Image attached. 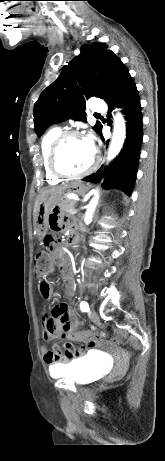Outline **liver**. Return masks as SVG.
Listing matches in <instances>:
<instances>
[{
	"label": "liver",
	"instance_id": "liver-1",
	"mask_svg": "<svg viewBox=\"0 0 165 461\" xmlns=\"http://www.w3.org/2000/svg\"><path fill=\"white\" fill-rule=\"evenodd\" d=\"M65 188L66 187H53V188L43 190V191L40 192V194L37 196V199H36L35 204H34V210H33L34 221H36V216H37V213H38V209H39V205H40L41 200L46 195H49V194H61Z\"/></svg>",
	"mask_w": 165,
	"mask_h": 461
}]
</instances>
